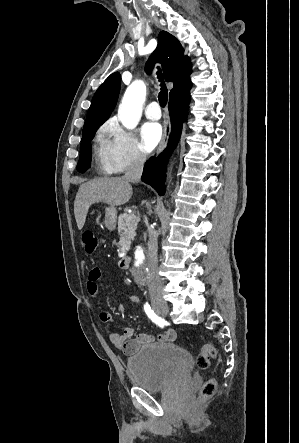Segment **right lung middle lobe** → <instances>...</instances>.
Segmentation results:
<instances>
[{"instance_id":"obj_1","label":"right lung middle lobe","mask_w":299,"mask_h":443,"mask_svg":"<svg viewBox=\"0 0 299 443\" xmlns=\"http://www.w3.org/2000/svg\"><path fill=\"white\" fill-rule=\"evenodd\" d=\"M98 127L99 126L89 128L82 133L83 138L80 146V158L77 165V170L79 172H85L91 165L92 151L90 141L92 140Z\"/></svg>"}]
</instances>
